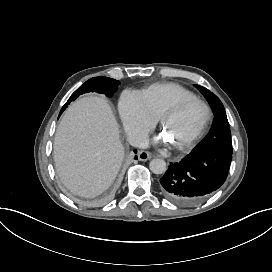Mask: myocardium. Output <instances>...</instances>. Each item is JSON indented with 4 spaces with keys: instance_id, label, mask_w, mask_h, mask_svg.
<instances>
[{
    "instance_id": "myocardium-1",
    "label": "myocardium",
    "mask_w": 272,
    "mask_h": 272,
    "mask_svg": "<svg viewBox=\"0 0 272 272\" xmlns=\"http://www.w3.org/2000/svg\"><path fill=\"white\" fill-rule=\"evenodd\" d=\"M193 105L199 106L201 108L202 119L199 125L192 131L187 140L184 142L183 149H188L204 131L210 115V110L207 104L197 98H176L162 111L160 116L162 126H166V117L168 114L180 113Z\"/></svg>"
}]
</instances>
